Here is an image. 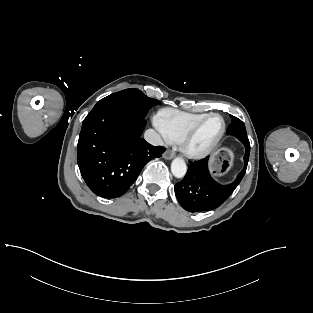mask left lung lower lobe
<instances>
[{
  "label": "left lung lower lobe",
  "instance_id": "0a47b994",
  "mask_svg": "<svg viewBox=\"0 0 313 313\" xmlns=\"http://www.w3.org/2000/svg\"><path fill=\"white\" fill-rule=\"evenodd\" d=\"M245 146L244 168L234 182L220 185L213 180L208 171V157L190 162L182 181L175 186V195L180 205L187 211H209L219 207L235 190L245 175L250 154V142L246 134L234 135Z\"/></svg>",
  "mask_w": 313,
  "mask_h": 313
}]
</instances>
